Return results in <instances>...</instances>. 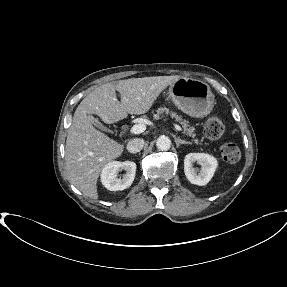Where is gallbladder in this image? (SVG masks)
Instances as JSON below:
<instances>
[{"label":"gallbladder","instance_id":"obj_1","mask_svg":"<svg viewBox=\"0 0 287 287\" xmlns=\"http://www.w3.org/2000/svg\"><path fill=\"white\" fill-rule=\"evenodd\" d=\"M89 119L93 125H95L96 127L100 128L102 130L107 131V129L96 118H94L93 116H89Z\"/></svg>","mask_w":287,"mask_h":287}]
</instances>
